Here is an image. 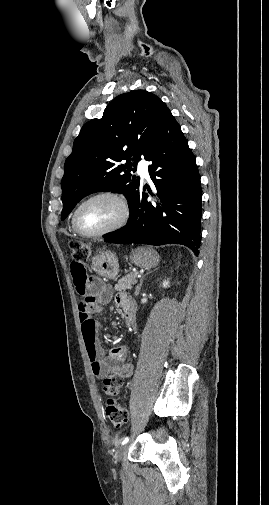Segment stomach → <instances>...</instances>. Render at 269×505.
Segmentation results:
<instances>
[{
	"mask_svg": "<svg viewBox=\"0 0 269 505\" xmlns=\"http://www.w3.org/2000/svg\"><path fill=\"white\" fill-rule=\"evenodd\" d=\"M130 260L138 267L151 268L159 263V255L151 247L143 246L131 252ZM92 269L107 280L114 279L119 272L118 259L111 251L100 252L92 260Z\"/></svg>",
	"mask_w": 269,
	"mask_h": 505,
	"instance_id": "obj_1",
	"label": "stomach"
}]
</instances>
